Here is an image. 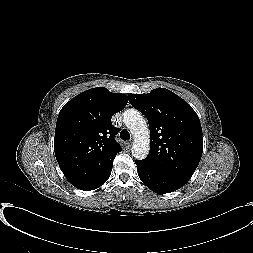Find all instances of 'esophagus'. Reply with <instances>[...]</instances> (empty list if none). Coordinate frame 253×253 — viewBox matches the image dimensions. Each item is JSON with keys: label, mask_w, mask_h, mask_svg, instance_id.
Masks as SVG:
<instances>
[{"label": "esophagus", "mask_w": 253, "mask_h": 253, "mask_svg": "<svg viewBox=\"0 0 253 253\" xmlns=\"http://www.w3.org/2000/svg\"><path fill=\"white\" fill-rule=\"evenodd\" d=\"M132 144H133V140H130V141L127 142V146H128V147H131Z\"/></svg>", "instance_id": "esophagus-1"}]
</instances>
